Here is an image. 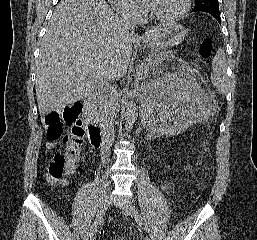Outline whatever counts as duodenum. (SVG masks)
<instances>
[{
    "label": "duodenum",
    "instance_id": "410a0bca",
    "mask_svg": "<svg viewBox=\"0 0 257 240\" xmlns=\"http://www.w3.org/2000/svg\"><path fill=\"white\" fill-rule=\"evenodd\" d=\"M95 102L96 94L93 91L86 93L84 97L85 124L91 145L94 148H101L111 140L113 127L111 124L97 123L94 115Z\"/></svg>",
    "mask_w": 257,
    "mask_h": 240
}]
</instances>
